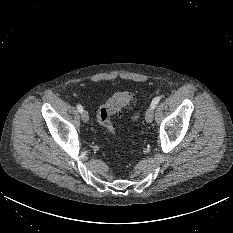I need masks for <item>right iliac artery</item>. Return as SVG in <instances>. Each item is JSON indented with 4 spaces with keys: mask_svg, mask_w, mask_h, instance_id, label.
Wrapping results in <instances>:
<instances>
[{
    "mask_svg": "<svg viewBox=\"0 0 233 233\" xmlns=\"http://www.w3.org/2000/svg\"><path fill=\"white\" fill-rule=\"evenodd\" d=\"M77 110H78L80 113H82L83 107H82L81 105H77Z\"/></svg>",
    "mask_w": 233,
    "mask_h": 233,
    "instance_id": "1",
    "label": "right iliac artery"
}]
</instances>
